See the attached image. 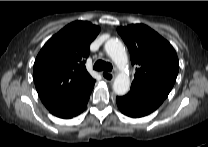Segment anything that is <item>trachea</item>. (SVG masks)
Instances as JSON below:
<instances>
[{
  "mask_svg": "<svg viewBox=\"0 0 208 147\" xmlns=\"http://www.w3.org/2000/svg\"><path fill=\"white\" fill-rule=\"evenodd\" d=\"M93 69L96 71H107V72H111L113 67L112 64L109 62H105L103 60H98L95 62Z\"/></svg>",
  "mask_w": 208,
  "mask_h": 147,
  "instance_id": "obj_1",
  "label": "trachea"
}]
</instances>
